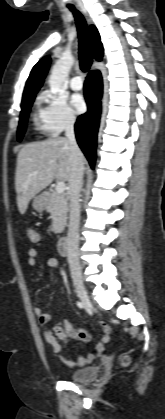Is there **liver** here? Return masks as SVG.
<instances>
[{"instance_id": "obj_1", "label": "liver", "mask_w": 165, "mask_h": 419, "mask_svg": "<svg viewBox=\"0 0 165 419\" xmlns=\"http://www.w3.org/2000/svg\"><path fill=\"white\" fill-rule=\"evenodd\" d=\"M85 164V157H82ZM36 172V174H33ZM71 150L68 139L55 136L24 145L17 156L15 189L19 212L24 214L29 201L54 179L70 181Z\"/></svg>"}]
</instances>
